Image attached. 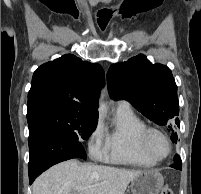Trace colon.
<instances>
[{"label":"colon","mask_w":201,"mask_h":194,"mask_svg":"<svg viewBox=\"0 0 201 194\" xmlns=\"http://www.w3.org/2000/svg\"><path fill=\"white\" fill-rule=\"evenodd\" d=\"M160 194H173V192L170 188L165 187Z\"/></svg>","instance_id":"obj_1"}]
</instances>
